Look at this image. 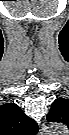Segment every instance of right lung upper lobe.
I'll return each instance as SVG.
<instances>
[{"instance_id": "right-lung-upper-lobe-1", "label": "right lung upper lobe", "mask_w": 69, "mask_h": 135, "mask_svg": "<svg viewBox=\"0 0 69 135\" xmlns=\"http://www.w3.org/2000/svg\"><path fill=\"white\" fill-rule=\"evenodd\" d=\"M0 121L3 135H32L38 131L36 122L13 103L0 107Z\"/></svg>"}]
</instances>
